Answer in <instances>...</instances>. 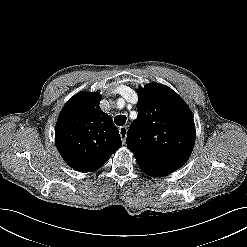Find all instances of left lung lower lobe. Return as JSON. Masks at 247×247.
Returning a JSON list of instances; mask_svg holds the SVG:
<instances>
[{"label":"left lung lower lobe","mask_w":247,"mask_h":247,"mask_svg":"<svg viewBox=\"0 0 247 247\" xmlns=\"http://www.w3.org/2000/svg\"><path fill=\"white\" fill-rule=\"evenodd\" d=\"M138 165L145 174L150 175V176H155V177L165 176V175H168L174 172V170L162 169V168L153 167V166H149V165H145L141 163H138Z\"/></svg>","instance_id":"0a47b994"}]
</instances>
